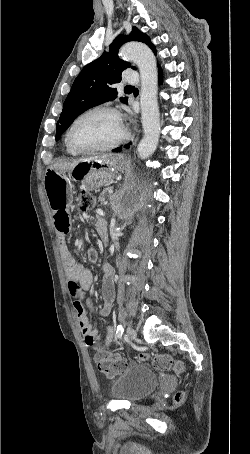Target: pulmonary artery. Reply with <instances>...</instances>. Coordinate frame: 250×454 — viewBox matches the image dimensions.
Here are the masks:
<instances>
[{"label": "pulmonary artery", "instance_id": "e3ab8cb5", "mask_svg": "<svg viewBox=\"0 0 250 454\" xmlns=\"http://www.w3.org/2000/svg\"><path fill=\"white\" fill-rule=\"evenodd\" d=\"M139 81V75L137 72L129 71L125 77V82L129 84H136Z\"/></svg>", "mask_w": 250, "mask_h": 454}]
</instances>
